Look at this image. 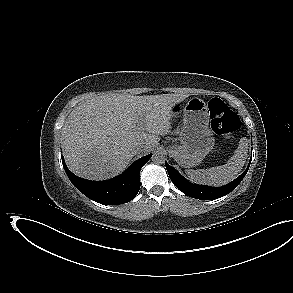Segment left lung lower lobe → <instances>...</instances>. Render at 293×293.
Masks as SVG:
<instances>
[{
    "label": "left lung lower lobe",
    "instance_id": "1",
    "mask_svg": "<svg viewBox=\"0 0 293 293\" xmlns=\"http://www.w3.org/2000/svg\"><path fill=\"white\" fill-rule=\"evenodd\" d=\"M165 166L167 168L171 181L181 192L196 199L214 200L225 196L237 187V185L243 180L244 176L246 175L250 163L247 169L238 178L222 187H209L193 184L186 180L183 176H181L176 169H174L167 163H165Z\"/></svg>",
    "mask_w": 293,
    "mask_h": 293
}]
</instances>
